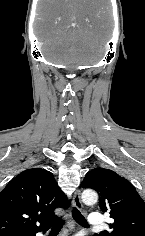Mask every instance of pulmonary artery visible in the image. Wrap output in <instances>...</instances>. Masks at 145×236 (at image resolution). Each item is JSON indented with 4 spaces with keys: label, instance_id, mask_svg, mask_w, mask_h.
Segmentation results:
<instances>
[{
    "label": "pulmonary artery",
    "instance_id": "1",
    "mask_svg": "<svg viewBox=\"0 0 145 236\" xmlns=\"http://www.w3.org/2000/svg\"><path fill=\"white\" fill-rule=\"evenodd\" d=\"M104 218L101 214L96 213V214H90L88 217V223L91 227L97 228L101 227L104 225Z\"/></svg>",
    "mask_w": 145,
    "mask_h": 236
}]
</instances>
